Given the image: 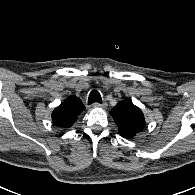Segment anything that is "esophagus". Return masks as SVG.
<instances>
[{
	"instance_id": "esophagus-1",
	"label": "esophagus",
	"mask_w": 195,
	"mask_h": 195,
	"mask_svg": "<svg viewBox=\"0 0 195 195\" xmlns=\"http://www.w3.org/2000/svg\"><path fill=\"white\" fill-rule=\"evenodd\" d=\"M107 104L106 103H94L93 107L95 108H106Z\"/></svg>"
}]
</instances>
